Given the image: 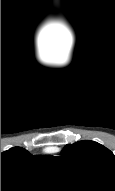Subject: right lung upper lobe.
<instances>
[{"instance_id":"1","label":"right lung upper lobe","mask_w":115,"mask_h":191,"mask_svg":"<svg viewBox=\"0 0 115 191\" xmlns=\"http://www.w3.org/2000/svg\"><path fill=\"white\" fill-rule=\"evenodd\" d=\"M29 154V152L22 147H13L3 153H1V157H22L23 155Z\"/></svg>"}]
</instances>
